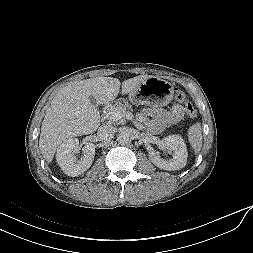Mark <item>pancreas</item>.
I'll use <instances>...</instances> for the list:
<instances>
[{
	"label": "pancreas",
	"mask_w": 253,
	"mask_h": 253,
	"mask_svg": "<svg viewBox=\"0 0 253 253\" xmlns=\"http://www.w3.org/2000/svg\"><path fill=\"white\" fill-rule=\"evenodd\" d=\"M112 110H120V111H124V112H129V111H133L132 109V105H130L127 101H123V102H117L114 105L110 106L107 109V113L112 111Z\"/></svg>",
	"instance_id": "obj_1"
}]
</instances>
